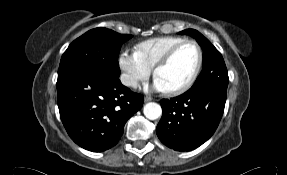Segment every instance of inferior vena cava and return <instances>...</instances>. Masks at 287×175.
Segmentation results:
<instances>
[{
  "instance_id": "obj_1",
  "label": "inferior vena cava",
  "mask_w": 287,
  "mask_h": 175,
  "mask_svg": "<svg viewBox=\"0 0 287 175\" xmlns=\"http://www.w3.org/2000/svg\"><path fill=\"white\" fill-rule=\"evenodd\" d=\"M120 80L122 84L125 86H132V87L137 86L136 79L128 74H122Z\"/></svg>"
}]
</instances>
